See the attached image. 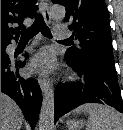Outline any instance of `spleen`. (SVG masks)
<instances>
[{
    "mask_svg": "<svg viewBox=\"0 0 123 130\" xmlns=\"http://www.w3.org/2000/svg\"><path fill=\"white\" fill-rule=\"evenodd\" d=\"M73 112H84L89 115L86 130H123L120 115L109 106L93 103L84 104Z\"/></svg>",
    "mask_w": 123,
    "mask_h": 130,
    "instance_id": "1",
    "label": "spleen"
}]
</instances>
